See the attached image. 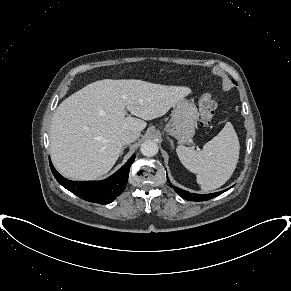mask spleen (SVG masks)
<instances>
[{
  "label": "spleen",
  "instance_id": "spleen-1",
  "mask_svg": "<svg viewBox=\"0 0 291 291\" xmlns=\"http://www.w3.org/2000/svg\"><path fill=\"white\" fill-rule=\"evenodd\" d=\"M240 144L230 122L202 150L178 146L177 155L186 169L197 174L205 191L221 187L232 176L239 159Z\"/></svg>",
  "mask_w": 291,
  "mask_h": 291
}]
</instances>
